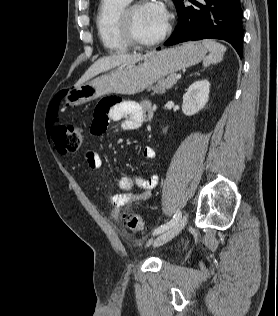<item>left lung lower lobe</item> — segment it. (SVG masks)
Here are the masks:
<instances>
[{
    "label": "left lung lower lobe",
    "mask_w": 278,
    "mask_h": 316,
    "mask_svg": "<svg viewBox=\"0 0 278 316\" xmlns=\"http://www.w3.org/2000/svg\"><path fill=\"white\" fill-rule=\"evenodd\" d=\"M176 4L178 25L165 46L190 40L221 39L243 54V11L239 0H189ZM160 49V48H158Z\"/></svg>",
    "instance_id": "1"
}]
</instances>
